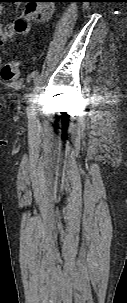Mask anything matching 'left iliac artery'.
<instances>
[{"label": "left iliac artery", "mask_w": 127, "mask_h": 303, "mask_svg": "<svg viewBox=\"0 0 127 303\" xmlns=\"http://www.w3.org/2000/svg\"><path fill=\"white\" fill-rule=\"evenodd\" d=\"M34 99H35V92H31L28 95V102L30 105L27 109V114H28L29 118H31V119L34 118V108H33Z\"/></svg>", "instance_id": "left-iliac-artery-1"}]
</instances>
